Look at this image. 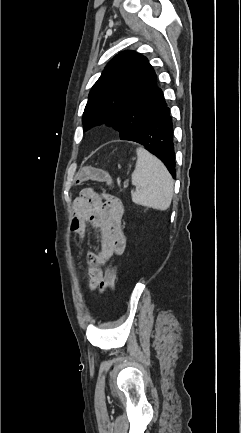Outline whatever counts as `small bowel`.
<instances>
[{"label": "small bowel", "mask_w": 241, "mask_h": 433, "mask_svg": "<svg viewBox=\"0 0 241 433\" xmlns=\"http://www.w3.org/2000/svg\"><path fill=\"white\" fill-rule=\"evenodd\" d=\"M123 212L119 198L99 193L91 188L83 189L73 201L71 230L82 238L86 222L89 221L98 235L97 251H90L85 255L89 280L93 274L102 275V266L113 256L124 253L126 237L122 229ZM90 288L93 289L91 286Z\"/></svg>", "instance_id": "small-bowel-1"}]
</instances>
